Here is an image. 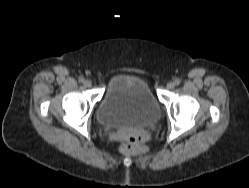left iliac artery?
Segmentation results:
<instances>
[{"label":"left iliac artery","instance_id":"obj_1","mask_svg":"<svg viewBox=\"0 0 249 188\" xmlns=\"http://www.w3.org/2000/svg\"><path fill=\"white\" fill-rule=\"evenodd\" d=\"M174 84L178 86V85L180 84V80L176 79V80L174 81Z\"/></svg>","mask_w":249,"mask_h":188}]
</instances>
